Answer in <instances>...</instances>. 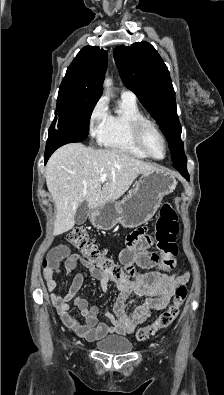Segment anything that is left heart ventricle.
<instances>
[{"label":"left heart ventricle","instance_id":"b2bd125f","mask_svg":"<svg viewBox=\"0 0 224 395\" xmlns=\"http://www.w3.org/2000/svg\"><path fill=\"white\" fill-rule=\"evenodd\" d=\"M145 142L152 155L161 158L164 155V145L161 138L151 129L145 134Z\"/></svg>","mask_w":224,"mask_h":395}]
</instances>
